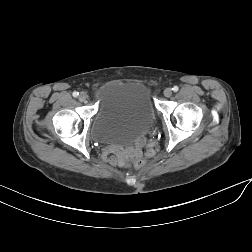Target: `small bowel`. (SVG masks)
Segmentation results:
<instances>
[{
	"label": "small bowel",
	"mask_w": 252,
	"mask_h": 252,
	"mask_svg": "<svg viewBox=\"0 0 252 252\" xmlns=\"http://www.w3.org/2000/svg\"><path fill=\"white\" fill-rule=\"evenodd\" d=\"M144 146V141L142 139H140L135 146V153L136 154H141L142 149ZM133 150L126 148L123 150H119V149H113L111 151V154L113 155L111 157V161L114 163H118V164H122L124 163L132 154Z\"/></svg>",
	"instance_id": "small-bowel-1"
}]
</instances>
